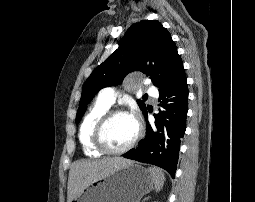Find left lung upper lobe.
Here are the masks:
<instances>
[{"mask_svg":"<svg viewBox=\"0 0 255 202\" xmlns=\"http://www.w3.org/2000/svg\"><path fill=\"white\" fill-rule=\"evenodd\" d=\"M141 71L162 91L184 72L183 63L169 32L156 20L133 24L119 42V47L88 77L82 88L76 123L86 105L103 87L122 82L126 74ZM143 114L146 107L137 101Z\"/></svg>","mask_w":255,"mask_h":202,"instance_id":"1","label":"left lung upper lobe"}]
</instances>
